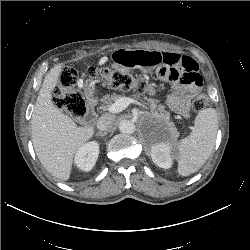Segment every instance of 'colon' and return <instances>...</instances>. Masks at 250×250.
<instances>
[{
    "instance_id": "obj_1",
    "label": "colon",
    "mask_w": 250,
    "mask_h": 250,
    "mask_svg": "<svg viewBox=\"0 0 250 250\" xmlns=\"http://www.w3.org/2000/svg\"><path fill=\"white\" fill-rule=\"evenodd\" d=\"M87 74L98 79L103 85L121 90H133L139 94H153L155 88L146 80L134 78L129 74H124L108 67H91ZM77 72L71 68H65L59 75L53 95L57 107L66 111L70 115L80 118L86 113L85 100L75 89ZM210 103L209 97L205 92L197 95L193 101V109L200 111Z\"/></svg>"
}]
</instances>
